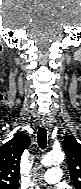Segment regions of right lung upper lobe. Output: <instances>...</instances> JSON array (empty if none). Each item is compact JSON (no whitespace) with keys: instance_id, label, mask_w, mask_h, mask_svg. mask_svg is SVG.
I'll use <instances>...</instances> for the list:
<instances>
[{"instance_id":"1","label":"right lung upper lobe","mask_w":81,"mask_h":189,"mask_svg":"<svg viewBox=\"0 0 81 189\" xmlns=\"http://www.w3.org/2000/svg\"><path fill=\"white\" fill-rule=\"evenodd\" d=\"M30 143L28 135L19 133L0 147V189L18 188L21 156Z\"/></svg>"}]
</instances>
